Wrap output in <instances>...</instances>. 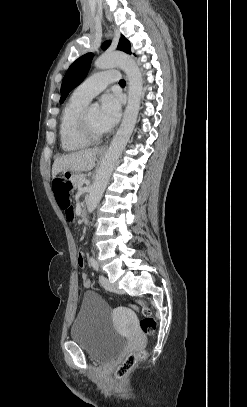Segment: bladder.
<instances>
[{"instance_id": "1", "label": "bladder", "mask_w": 247, "mask_h": 407, "mask_svg": "<svg viewBox=\"0 0 247 407\" xmlns=\"http://www.w3.org/2000/svg\"><path fill=\"white\" fill-rule=\"evenodd\" d=\"M71 340L97 362L114 359L126 344V336L112 323V308L94 292L83 294L80 311L71 328Z\"/></svg>"}]
</instances>
